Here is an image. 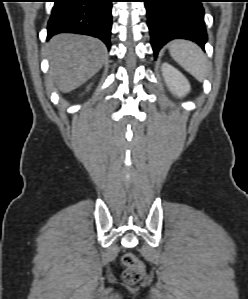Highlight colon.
Here are the masks:
<instances>
[{
	"mask_svg": "<svg viewBox=\"0 0 248 299\" xmlns=\"http://www.w3.org/2000/svg\"><path fill=\"white\" fill-rule=\"evenodd\" d=\"M122 263L127 268L124 280L128 284L137 283L143 276V264L132 253H126L122 257Z\"/></svg>",
	"mask_w": 248,
	"mask_h": 299,
	"instance_id": "1",
	"label": "colon"
}]
</instances>
